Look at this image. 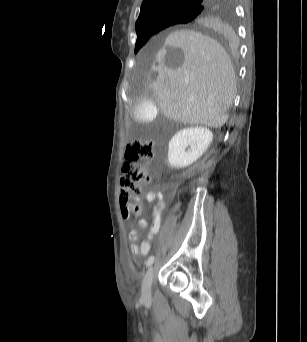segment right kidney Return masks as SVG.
Wrapping results in <instances>:
<instances>
[{
  "instance_id": "ca27d5eb",
  "label": "right kidney",
  "mask_w": 307,
  "mask_h": 342,
  "mask_svg": "<svg viewBox=\"0 0 307 342\" xmlns=\"http://www.w3.org/2000/svg\"><path fill=\"white\" fill-rule=\"evenodd\" d=\"M213 140V134L208 128H184L177 132L169 142L168 164L170 168L181 170L196 162ZM189 146V148H188ZM186 148H188L186 152Z\"/></svg>"
}]
</instances>
